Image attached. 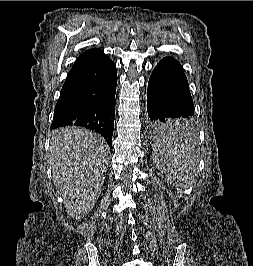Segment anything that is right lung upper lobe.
<instances>
[{
    "instance_id": "right-lung-upper-lobe-1",
    "label": "right lung upper lobe",
    "mask_w": 253,
    "mask_h": 266,
    "mask_svg": "<svg viewBox=\"0 0 253 266\" xmlns=\"http://www.w3.org/2000/svg\"><path fill=\"white\" fill-rule=\"evenodd\" d=\"M94 50H96V48L95 49H90V50H87V51H85L84 53H82L79 57H78V59L79 58H82V57H85V56H87V55H89L91 52H93Z\"/></svg>"
}]
</instances>
